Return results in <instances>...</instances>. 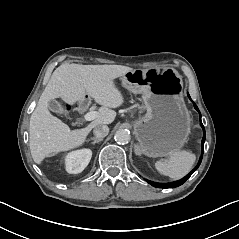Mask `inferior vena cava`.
<instances>
[{
    "mask_svg": "<svg viewBox=\"0 0 239 239\" xmlns=\"http://www.w3.org/2000/svg\"><path fill=\"white\" fill-rule=\"evenodd\" d=\"M93 133L96 137H106L109 134V127L106 125H98L94 128Z\"/></svg>",
    "mask_w": 239,
    "mask_h": 239,
    "instance_id": "1",
    "label": "inferior vena cava"
}]
</instances>
